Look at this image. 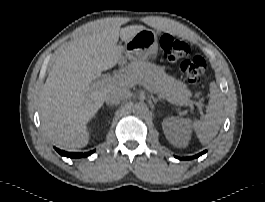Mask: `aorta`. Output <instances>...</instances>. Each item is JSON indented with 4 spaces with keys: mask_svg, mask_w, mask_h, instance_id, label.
I'll use <instances>...</instances> for the list:
<instances>
[{
    "mask_svg": "<svg viewBox=\"0 0 265 202\" xmlns=\"http://www.w3.org/2000/svg\"><path fill=\"white\" fill-rule=\"evenodd\" d=\"M132 111L138 115H145L148 112V107L144 102L133 104Z\"/></svg>",
    "mask_w": 265,
    "mask_h": 202,
    "instance_id": "1",
    "label": "aorta"
}]
</instances>
